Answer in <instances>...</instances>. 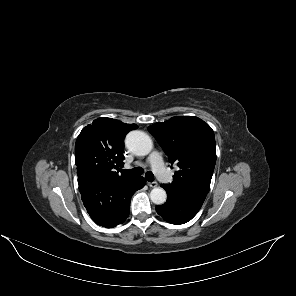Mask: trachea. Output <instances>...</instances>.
Returning a JSON list of instances; mask_svg holds the SVG:
<instances>
[{
    "instance_id": "trachea-1",
    "label": "trachea",
    "mask_w": 296,
    "mask_h": 296,
    "mask_svg": "<svg viewBox=\"0 0 296 296\" xmlns=\"http://www.w3.org/2000/svg\"><path fill=\"white\" fill-rule=\"evenodd\" d=\"M121 173L129 175V176H141L143 174V169L141 167H136L130 170L127 169H120L119 170ZM145 178L149 181V182H153L154 180V175L151 171H147L145 173Z\"/></svg>"
}]
</instances>
